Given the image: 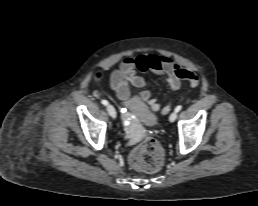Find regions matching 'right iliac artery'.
I'll return each mask as SVG.
<instances>
[{
	"instance_id": "82829eb1",
	"label": "right iliac artery",
	"mask_w": 258,
	"mask_h": 206,
	"mask_svg": "<svg viewBox=\"0 0 258 206\" xmlns=\"http://www.w3.org/2000/svg\"><path fill=\"white\" fill-rule=\"evenodd\" d=\"M101 103H102L103 105H108V101H107V100H102Z\"/></svg>"
}]
</instances>
